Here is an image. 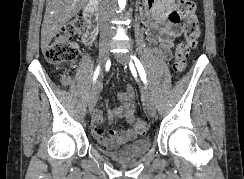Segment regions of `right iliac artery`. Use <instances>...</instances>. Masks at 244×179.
Wrapping results in <instances>:
<instances>
[{
	"label": "right iliac artery",
	"mask_w": 244,
	"mask_h": 179,
	"mask_svg": "<svg viewBox=\"0 0 244 179\" xmlns=\"http://www.w3.org/2000/svg\"><path fill=\"white\" fill-rule=\"evenodd\" d=\"M99 69H100V68H99V66H98L97 69H96V71H95V73H94L93 81H95L96 78L98 77Z\"/></svg>",
	"instance_id": "1"
}]
</instances>
